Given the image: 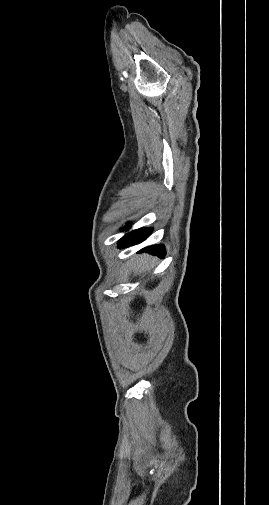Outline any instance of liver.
Masks as SVG:
<instances>
[{"mask_svg":"<svg viewBox=\"0 0 269 505\" xmlns=\"http://www.w3.org/2000/svg\"><path fill=\"white\" fill-rule=\"evenodd\" d=\"M151 257L148 255H141L136 258V262L134 264V268L136 269V273L146 272L149 269L153 268L154 263L150 262Z\"/></svg>","mask_w":269,"mask_h":505,"instance_id":"1","label":"liver"}]
</instances>
